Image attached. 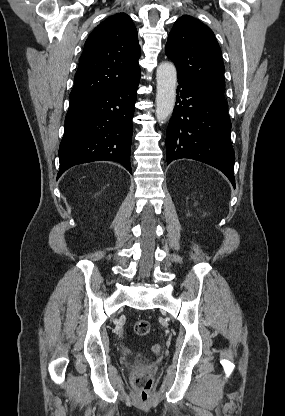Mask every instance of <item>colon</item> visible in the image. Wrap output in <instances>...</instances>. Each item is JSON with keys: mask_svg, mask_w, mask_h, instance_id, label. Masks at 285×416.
Listing matches in <instances>:
<instances>
[{"mask_svg": "<svg viewBox=\"0 0 285 416\" xmlns=\"http://www.w3.org/2000/svg\"><path fill=\"white\" fill-rule=\"evenodd\" d=\"M151 331L147 320L139 319L134 323V332L138 336H146ZM132 386L136 392L137 403L146 406L152 399L153 379L148 372L137 370L131 378Z\"/></svg>", "mask_w": 285, "mask_h": 416, "instance_id": "obj_1", "label": "colon"}]
</instances>
